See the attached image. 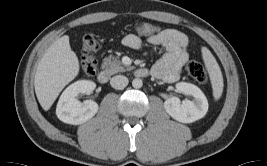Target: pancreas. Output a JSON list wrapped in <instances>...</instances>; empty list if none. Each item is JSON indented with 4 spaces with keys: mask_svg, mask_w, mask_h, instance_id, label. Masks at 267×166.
<instances>
[{
    "mask_svg": "<svg viewBox=\"0 0 267 166\" xmlns=\"http://www.w3.org/2000/svg\"><path fill=\"white\" fill-rule=\"evenodd\" d=\"M102 68H104L110 75L132 69L131 67L124 65L119 59H117V57L114 56L104 58Z\"/></svg>",
    "mask_w": 267,
    "mask_h": 166,
    "instance_id": "pancreas-1",
    "label": "pancreas"
}]
</instances>
